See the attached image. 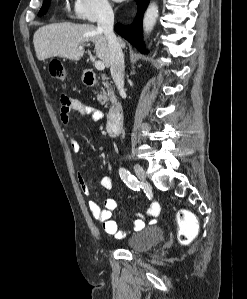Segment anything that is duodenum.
<instances>
[{"label": "duodenum", "instance_id": "obj_1", "mask_svg": "<svg viewBox=\"0 0 247 299\" xmlns=\"http://www.w3.org/2000/svg\"><path fill=\"white\" fill-rule=\"evenodd\" d=\"M84 82L87 85H93L96 82V76L91 69L84 70ZM123 122V109L119 102L114 101L111 104L107 115L106 130L110 135H115L119 132Z\"/></svg>", "mask_w": 247, "mask_h": 299}]
</instances>
